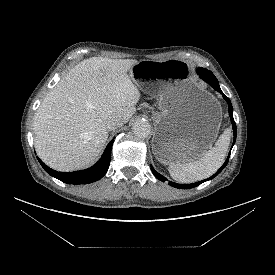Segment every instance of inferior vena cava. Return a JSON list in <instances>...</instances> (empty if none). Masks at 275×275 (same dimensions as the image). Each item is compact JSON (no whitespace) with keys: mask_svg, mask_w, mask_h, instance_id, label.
<instances>
[{"mask_svg":"<svg viewBox=\"0 0 275 275\" xmlns=\"http://www.w3.org/2000/svg\"><path fill=\"white\" fill-rule=\"evenodd\" d=\"M124 124V121L119 116L110 117L106 122V127L108 130H115L118 127H121Z\"/></svg>","mask_w":275,"mask_h":275,"instance_id":"1","label":"inferior vena cava"}]
</instances>
